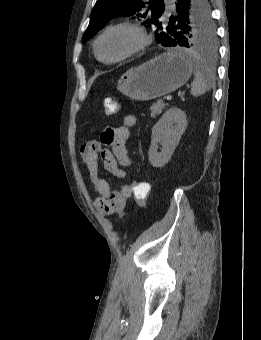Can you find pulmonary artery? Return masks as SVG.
<instances>
[{"instance_id": "obj_1", "label": "pulmonary artery", "mask_w": 261, "mask_h": 340, "mask_svg": "<svg viewBox=\"0 0 261 340\" xmlns=\"http://www.w3.org/2000/svg\"><path fill=\"white\" fill-rule=\"evenodd\" d=\"M172 0H167L166 5H167V14H170L172 11Z\"/></svg>"}]
</instances>
